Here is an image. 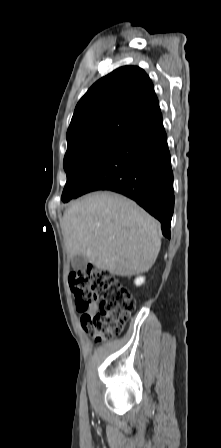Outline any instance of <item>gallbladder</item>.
I'll return each instance as SVG.
<instances>
[{"instance_id":"1","label":"gallbladder","mask_w":221,"mask_h":448,"mask_svg":"<svg viewBox=\"0 0 221 448\" xmlns=\"http://www.w3.org/2000/svg\"><path fill=\"white\" fill-rule=\"evenodd\" d=\"M71 262L74 270H84L87 264V259L83 255H76L72 258Z\"/></svg>"}]
</instances>
